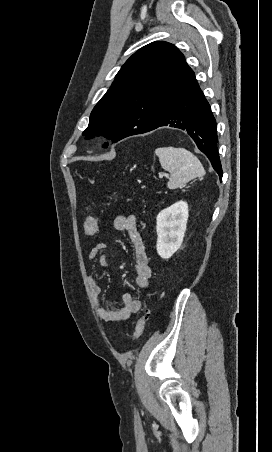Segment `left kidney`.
<instances>
[{"instance_id":"5707ae66","label":"left kidney","mask_w":272,"mask_h":452,"mask_svg":"<svg viewBox=\"0 0 272 452\" xmlns=\"http://www.w3.org/2000/svg\"><path fill=\"white\" fill-rule=\"evenodd\" d=\"M189 216L188 204L178 201L163 209L156 218L158 255L169 259L181 247Z\"/></svg>"}]
</instances>
